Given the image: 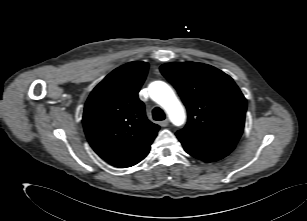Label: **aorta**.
I'll use <instances>...</instances> for the list:
<instances>
[{
	"label": "aorta",
	"mask_w": 307,
	"mask_h": 221,
	"mask_svg": "<svg viewBox=\"0 0 307 221\" xmlns=\"http://www.w3.org/2000/svg\"><path fill=\"white\" fill-rule=\"evenodd\" d=\"M149 95L153 101L163 107L170 121L181 126L185 122L184 108L172 88L163 81H154L149 85Z\"/></svg>",
	"instance_id": "obj_1"
}]
</instances>
